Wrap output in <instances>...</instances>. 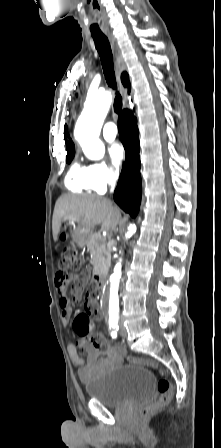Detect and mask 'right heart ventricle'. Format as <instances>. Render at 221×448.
<instances>
[{
    "label": "right heart ventricle",
    "mask_w": 221,
    "mask_h": 448,
    "mask_svg": "<svg viewBox=\"0 0 221 448\" xmlns=\"http://www.w3.org/2000/svg\"><path fill=\"white\" fill-rule=\"evenodd\" d=\"M65 184L74 192L91 190L87 179V168L82 167L78 162L73 163L66 175Z\"/></svg>",
    "instance_id": "right-heart-ventricle-1"
}]
</instances>
